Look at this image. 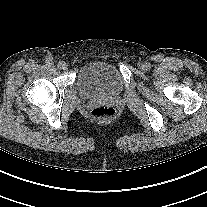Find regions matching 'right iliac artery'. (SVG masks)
<instances>
[{"label": "right iliac artery", "instance_id": "obj_1", "mask_svg": "<svg viewBox=\"0 0 207 207\" xmlns=\"http://www.w3.org/2000/svg\"><path fill=\"white\" fill-rule=\"evenodd\" d=\"M62 61H60L59 63H58V68H60V66L62 65Z\"/></svg>", "mask_w": 207, "mask_h": 207}]
</instances>
